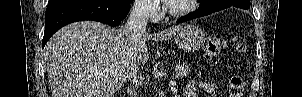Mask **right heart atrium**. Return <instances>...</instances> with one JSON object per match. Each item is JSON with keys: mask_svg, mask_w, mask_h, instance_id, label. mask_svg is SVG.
I'll return each instance as SVG.
<instances>
[{"mask_svg": "<svg viewBox=\"0 0 302 97\" xmlns=\"http://www.w3.org/2000/svg\"><path fill=\"white\" fill-rule=\"evenodd\" d=\"M136 9L140 15L145 16L150 20L159 18V7L156 1H139Z\"/></svg>", "mask_w": 302, "mask_h": 97, "instance_id": "d8ad5b80", "label": "right heart atrium"}]
</instances>
